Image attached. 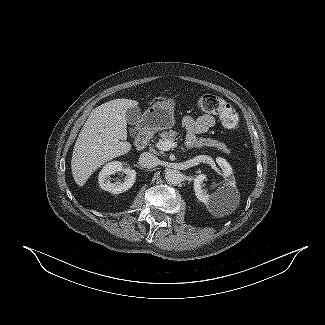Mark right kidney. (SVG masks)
Listing matches in <instances>:
<instances>
[{"label":"right kidney","mask_w":325,"mask_h":325,"mask_svg":"<svg viewBox=\"0 0 325 325\" xmlns=\"http://www.w3.org/2000/svg\"><path fill=\"white\" fill-rule=\"evenodd\" d=\"M117 172L124 173L125 179L124 182H110V175H113ZM99 185L100 187L108 192L113 194H119L125 192L126 190L130 189L135 180H136V172L135 170L131 169L130 166L125 165L119 161H113L107 163L99 173Z\"/></svg>","instance_id":"obj_1"}]
</instances>
